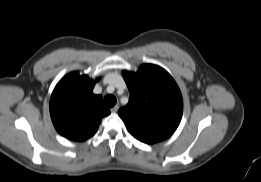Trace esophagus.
<instances>
[{
  "mask_svg": "<svg viewBox=\"0 0 261 182\" xmlns=\"http://www.w3.org/2000/svg\"><path fill=\"white\" fill-rule=\"evenodd\" d=\"M118 108H119V106H118V105H115L113 108H111V112H112V113L117 112V111H118Z\"/></svg>",
  "mask_w": 261,
  "mask_h": 182,
  "instance_id": "1",
  "label": "esophagus"
}]
</instances>
